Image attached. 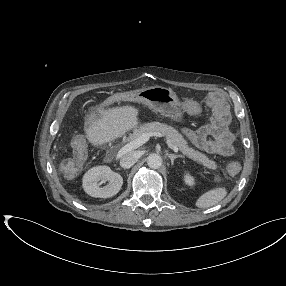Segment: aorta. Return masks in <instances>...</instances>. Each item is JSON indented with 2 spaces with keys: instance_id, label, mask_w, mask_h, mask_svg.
Wrapping results in <instances>:
<instances>
[{
  "instance_id": "aorta-1",
  "label": "aorta",
  "mask_w": 286,
  "mask_h": 286,
  "mask_svg": "<svg viewBox=\"0 0 286 286\" xmlns=\"http://www.w3.org/2000/svg\"><path fill=\"white\" fill-rule=\"evenodd\" d=\"M162 157L159 154L152 153L147 157V164L152 169H158L162 165Z\"/></svg>"
}]
</instances>
